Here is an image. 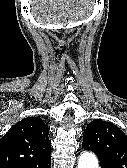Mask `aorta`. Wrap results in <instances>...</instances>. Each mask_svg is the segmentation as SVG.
Returning <instances> with one entry per match:
<instances>
[{"label": "aorta", "instance_id": "obj_1", "mask_svg": "<svg viewBox=\"0 0 127 168\" xmlns=\"http://www.w3.org/2000/svg\"><path fill=\"white\" fill-rule=\"evenodd\" d=\"M78 168H99L97 157L91 152H83L78 161Z\"/></svg>", "mask_w": 127, "mask_h": 168}]
</instances>
